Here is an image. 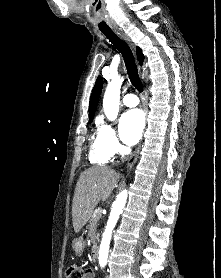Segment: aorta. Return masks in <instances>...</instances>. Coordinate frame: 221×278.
I'll return each mask as SVG.
<instances>
[{"mask_svg":"<svg viewBox=\"0 0 221 278\" xmlns=\"http://www.w3.org/2000/svg\"><path fill=\"white\" fill-rule=\"evenodd\" d=\"M121 85L122 79L119 77L113 78L107 85L103 98V110L109 120H115L118 115ZM126 200L127 190H123L117 195V198L112 205V209L100 244V263L107 261L112 231L118 221L119 215L122 213V210L126 204Z\"/></svg>","mask_w":221,"mask_h":278,"instance_id":"762f6f07","label":"aorta"}]
</instances>
